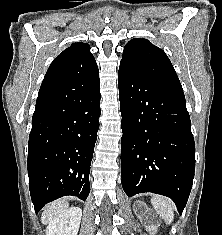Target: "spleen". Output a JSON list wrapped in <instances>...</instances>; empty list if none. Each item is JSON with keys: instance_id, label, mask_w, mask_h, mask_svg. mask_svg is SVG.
Instances as JSON below:
<instances>
[{"instance_id": "obj_1", "label": "spleen", "mask_w": 222, "mask_h": 235, "mask_svg": "<svg viewBox=\"0 0 222 235\" xmlns=\"http://www.w3.org/2000/svg\"><path fill=\"white\" fill-rule=\"evenodd\" d=\"M151 203L160 217H162L166 224L170 225L174 218V203L162 196H153Z\"/></svg>"}]
</instances>
